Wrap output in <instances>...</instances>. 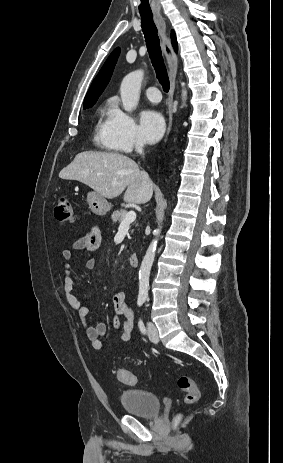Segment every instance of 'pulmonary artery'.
I'll return each mask as SVG.
<instances>
[{
  "mask_svg": "<svg viewBox=\"0 0 283 463\" xmlns=\"http://www.w3.org/2000/svg\"><path fill=\"white\" fill-rule=\"evenodd\" d=\"M144 93L151 102H159L161 100V93L156 87H148Z\"/></svg>",
  "mask_w": 283,
  "mask_h": 463,
  "instance_id": "1",
  "label": "pulmonary artery"
}]
</instances>
